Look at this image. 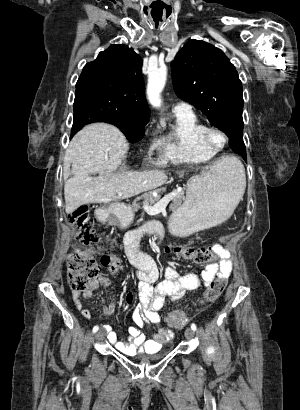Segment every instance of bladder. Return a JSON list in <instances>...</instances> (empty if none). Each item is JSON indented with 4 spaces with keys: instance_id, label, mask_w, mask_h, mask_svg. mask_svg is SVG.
<instances>
[{
    "instance_id": "31cf9c89",
    "label": "bladder",
    "mask_w": 300,
    "mask_h": 410,
    "mask_svg": "<svg viewBox=\"0 0 300 410\" xmlns=\"http://www.w3.org/2000/svg\"><path fill=\"white\" fill-rule=\"evenodd\" d=\"M169 351V348H165L163 350H160L152 355H146V356H141L139 357V360L145 363H151V362H157L164 358Z\"/></svg>"
}]
</instances>
